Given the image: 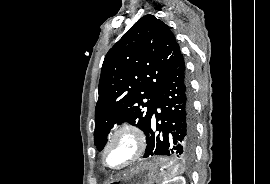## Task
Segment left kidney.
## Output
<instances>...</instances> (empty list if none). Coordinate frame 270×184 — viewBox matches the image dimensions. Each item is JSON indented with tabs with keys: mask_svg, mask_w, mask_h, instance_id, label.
Masks as SVG:
<instances>
[{
	"mask_svg": "<svg viewBox=\"0 0 270 184\" xmlns=\"http://www.w3.org/2000/svg\"><path fill=\"white\" fill-rule=\"evenodd\" d=\"M164 184H186L184 177H175Z\"/></svg>",
	"mask_w": 270,
	"mask_h": 184,
	"instance_id": "5707ae66",
	"label": "left kidney"
}]
</instances>
